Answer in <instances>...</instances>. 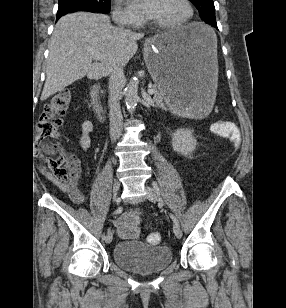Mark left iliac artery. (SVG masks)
<instances>
[{"label": "left iliac artery", "mask_w": 286, "mask_h": 308, "mask_svg": "<svg viewBox=\"0 0 286 308\" xmlns=\"http://www.w3.org/2000/svg\"><path fill=\"white\" fill-rule=\"evenodd\" d=\"M152 185H153L155 191L157 192V194H160V190H159L157 183L154 181V182H152ZM171 218L174 222L179 223L178 220L176 219V217H174L173 215H171Z\"/></svg>", "instance_id": "44dca946"}]
</instances>
